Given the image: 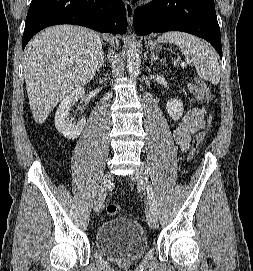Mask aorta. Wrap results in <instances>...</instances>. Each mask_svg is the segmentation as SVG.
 <instances>
[{
	"instance_id": "762f6f07",
	"label": "aorta",
	"mask_w": 253,
	"mask_h": 271,
	"mask_svg": "<svg viewBox=\"0 0 253 271\" xmlns=\"http://www.w3.org/2000/svg\"><path fill=\"white\" fill-rule=\"evenodd\" d=\"M127 70L132 78H136L139 75L141 56L139 43L135 40L131 41L128 45L127 51Z\"/></svg>"
}]
</instances>
